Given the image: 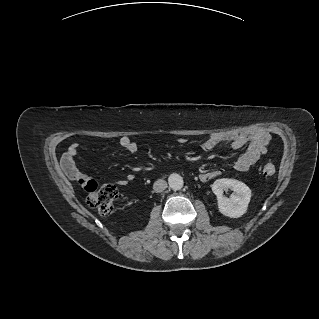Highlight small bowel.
I'll use <instances>...</instances> for the list:
<instances>
[{
	"mask_svg": "<svg viewBox=\"0 0 319 319\" xmlns=\"http://www.w3.org/2000/svg\"><path fill=\"white\" fill-rule=\"evenodd\" d=\"M269 142V135L263 131L255 130L251 132H223L211 135L203 144L202 148L205 151L216 149L222 144H229L233 149H241L245 147V151L236 160L234 167L240 172H245L253 166L260 157L265 154L266 146ZM119 145L129 153L137 151V145L128 136L119 138ZM78 145L71 147V152L74 153ZM218 171H204L199 174V179L202 182H208L218 176ZM70 176L75 179L84 178L75 168L70 170ZM133 179L132 175L119 179L116 184L120 187L126 186Z\"/></svg>",
	"mask_w": 319,
	"mask_h": 319,
	"instance_id": "c3829d8e",
	"label": "small bowel"
}]
</instances>
